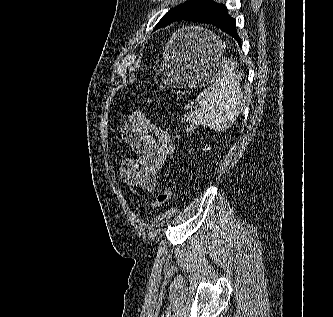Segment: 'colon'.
<instances>
[{"label": "colon", "instance_id": "obj_1", "mask_svg": "<svg viewBox=\"0 0 333 317\" xmlns=\"http://www.w3.org/2000/svg\"><path fill=\"white\" fill-rule=\"evenodd\" d=\"M195 126L192 123H188L185 126V130L188 133H191L194 130ZM173 192L170 187L162 189L159 194L156 196L154 202L152 203V209H158L168 203L172 198Z\"/></svg>", "mask_w": 333, "mask_h": 317}]
</instances>
